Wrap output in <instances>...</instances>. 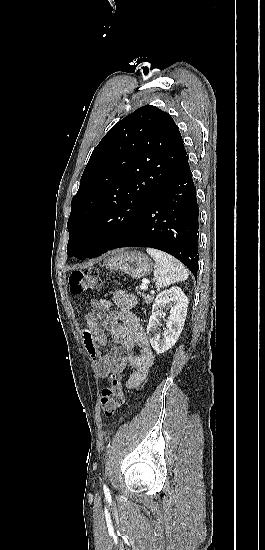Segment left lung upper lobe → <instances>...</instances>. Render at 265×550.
Here are the masks:
<instances>
[{
	"label": "left lung upper lobe",
	"mask_w": 265,
	"mask_h": 550,
	"mask_svg": "<svg viewBox=\"0 0 265 550\" xmlns=\"http://www.w3.org/2000/svg\"><path fill=\"white\" fill-rule=\"evenodd\" d=\"M186 154L174 120L155 106L115 124L93 150L71 202L68 256L84 260L111 246Z\"/></svg>",
	"instance_id": "1"
}]
</instances>
